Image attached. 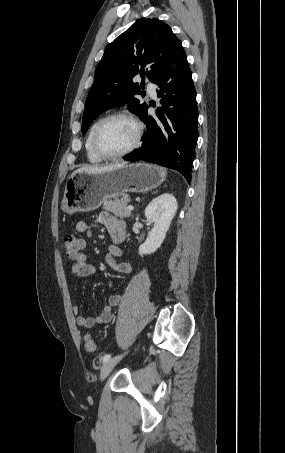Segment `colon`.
<instances>
[{"label": "colon", "mask_w": 285, "mask_h": 453, "mask_svg": "<svg viewBox=\"0 0 285 453\" xmlns=\"http://www.w3.org/2000/svg\"><path fill=\"white\" fill-rule=\"evenodd\" d=\"M63 246L66 255L70 259H76L83 252L84 242L81 238L74 234L66 235L63 239ZM84 347L88 352H93L96 349L94 339L90 335L84 336Z\"/></svg>", "instance_id": "colon-1"}]
</instances>
